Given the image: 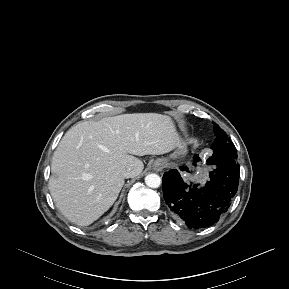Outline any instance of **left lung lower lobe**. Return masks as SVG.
I'll return each instance as SVG.
<instances>
[{
  "instance_id": "0a47b994",
  "label": "left lung lower lobe",
  "mask_w": 289,
  "mask_h": 289,
  "mask_svg": "<svg viewBox=\"0 0 289 289\" xmlns=\"http://www.w3.org/2000/svg\"><path fill=\"white\" fill-rule=\"evenodd\" d=\"M195 160L199 161L197 155ZM207 165H214L216 169L210 172V180L204 187L188 185L176 169L166 172L162 178L166 204L192 229L218 222L229 209L238 189L240 167L236 159L218 160L211 156ZM181 170L189 171L187 167Z\"/></svg>"
}]
</instances>
